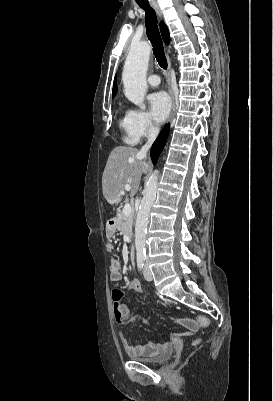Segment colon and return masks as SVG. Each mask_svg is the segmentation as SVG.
<instances>
[{"mask_svg": "<svg viewBox=\"0 0 273 401\" xmlns=\"http://www.w3.org/2000/svg\"><path fill=\"white\" fill-rule=\"evenodd\" d=\"M146 288V285L144 283H134V284H130L127 286V289L130 291L136 290V292L138 294H142L144 292V289ZM113 295L115 296V300L113 303V312H114V317H115V321L117 324H123L124 323V319H123V311L121 309L120 306V297L123 295V290L121 288H118ZM145 295V294H142ZM148 295V294H146ZM150 295V294H149ZM147 298V297H146ZM158 310V309H157ZM183 325L185 327H187L188 333L192 332L194 330H199V327L197 326H201L203 328H210L213 325L212 320L210 319H203V320H199L197 324H193V322L191 320H185L183 322ZM204 336L201 337H193L191 340V346L194 349L199 348V346L202 345Z\"/></svg>", "mask_w": 273, "mask_h": 401, "instance_id": "colon-1", "label": "colon"}]
</instances>
